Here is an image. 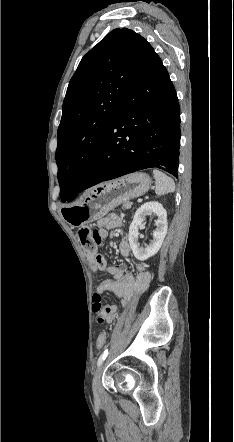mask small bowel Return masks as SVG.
Wrapping results in <instances>:
<instances>
[{"mask_svg": "<svg viewBox=\"0 0 234 442\" xmlns=\"http://www.w3.org/2000/svg\"><path fill=\"white\" fill-rule=\"evenodd\" d=\"M123 219L117 215H109L98 221L97 233L101 241L108 237L109 229L120 227ZM119 253L122 257L128 260L129 265L134 267L136 274L127 270L126 264L109 266L106 259L99 254H89V260L92 266H96L100 271H105L111 275V278L101 281L96 286V294H102L107 291L114 292L126 304L132 297L135 291H144L150 282V274L145 270L140 263H135L131 259V247L126 239H123L119 244ZM117 318V306L106 305L100 314H95L93 317L97 327L102 328L105 322L112 323Z\"/></svg>", "mask_w": 234, "mask_h": 442, "instance_id": "1", "label": "small bowel"}]
</instances>
